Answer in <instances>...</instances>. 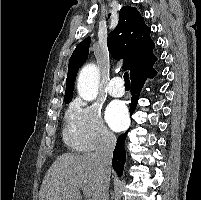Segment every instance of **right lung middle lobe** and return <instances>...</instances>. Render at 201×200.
I'll use <instances>...</instances> for the list:
<instances>
[{"label": "right lung middle lobe", "mask_w": 201, "mask_h": 200, "mask_svg": "<svg viewBox=\"0 0 201 200\" xmlns=\"http://www.w3.org/2000/svg\"><path fill=\"white\" fill-rule=\"evenodd\" d=\"M65 103H70L71 102V99L70 100H64Z\"/></svg>", "instance_id": "1"}]
</instances>
